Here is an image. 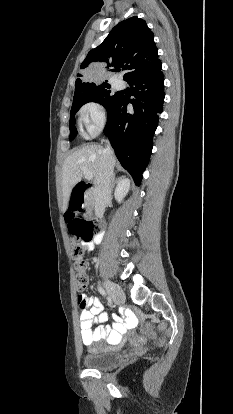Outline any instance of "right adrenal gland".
I'll use <instances>...</instances> for the list:
<instances>
[{"label": "right adrenal gland", "mask_w": 233, "mask_h": 414, "mask_svg": "<svg viewBox=\"0 0 233 414\" xmlns=\"http://www.w3.org/2000/svg\"><path fill=\"white\" fill-rule=\"evenodd\" d=\"M115 174L116 173H114L113 174V177H112V182H111V191H113V189H114V187H115V184H117L123 177H118V178H115Z\"/></svg>", "instance_id": "2a0ac1e0"}]
</instances>
